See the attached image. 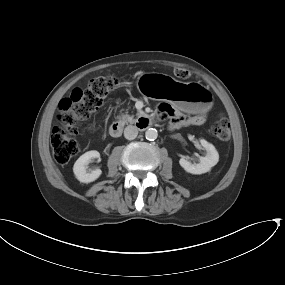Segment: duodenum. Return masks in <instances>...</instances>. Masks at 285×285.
<instances>
[{"mask_svg": "<svg viewBox=\"0 0 285 285\" xmlns=\"http://www.w3.org/2000/svg\"><path fill=\"white\" fill-rule=\"evenodd\" d=\"M140 124L145 128L150 124V119L148 117H142L140 119ZM123 132V124L121 122H113L110 126V134L113 137H120Z\"/></svg>", "mask_w": 285, "mask_h": 285, "instance_id": "410a0bca", "label": "duodenum"}]
</instances>
